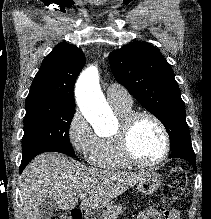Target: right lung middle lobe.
Segmentation results:
<instances>
[{
    "label": "right lung middle lobe",
    "mask_w": 211,
    "mask_h": 219,
    "mask_svg": "<svg viewBox=\"0 0 211 219\" xmlns=\"http://www.w3.org/2000/svg\"><path fill=\"white\" fill-rule=\"evenodd\" d=\"M74 112L75 107L58 106L47 101L26 103L22 159L49 151L75 157L69 141Z\"/></svg>",
    "instance_id": "obj_1"
}]
</instances>
